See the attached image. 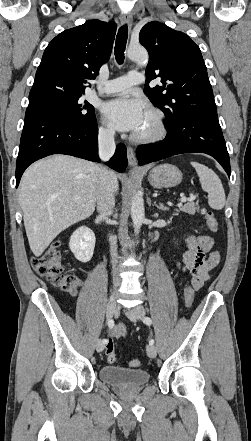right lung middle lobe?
Masks as SVG:
<instances>
[{
	"label": "right lung middle lobe",
	"mask_w": 251,
	"mask_h": 441,
	"mask_svg": "<svg viewBox=\"0 0 251 441\" xmlns=\"http://www.w3.org/2000/svg\"><path fill=\"white\" fill-rule=\"evenodd\" d=\"M28 108L49 112L80 125L96 119L94 107L86 100L82 101L81 95H55L29 102Z\"/></svg>",
	"instance_id": "1"
}]
</instances>
